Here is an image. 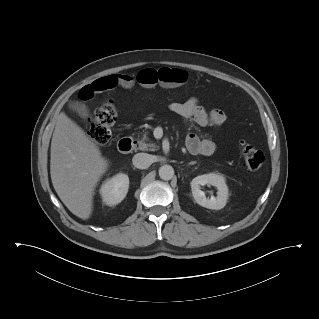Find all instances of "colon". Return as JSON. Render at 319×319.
<instances>
[{
	"mask_svg": "<svg viewBox=\"0 0 319 319\" xmlns=\"http://www.w3.org/2000/svg\"><path fill=\"white\" fill-rule=\"evenodd\" d=\"M117 119V109L113 102L105 101L94 113L90 121L89 134L93 141L98 144H106L111 137V128ZM241 151L247 168L256 172L259 171L265 161L261 150L255 146L242 142Z\"/></svg>",
	"mask_w": 319,
	"mask_h": 319,
	"instance_id": "obj_1",
	"label": "colon"
}]
</instances>
